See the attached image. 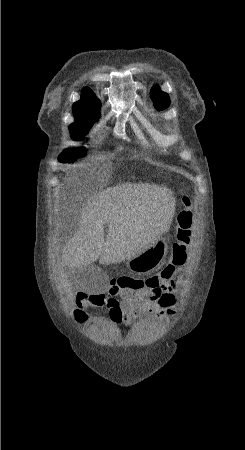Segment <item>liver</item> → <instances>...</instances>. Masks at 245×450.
<instances>
[{
    "instance_id": "1",
    "label": "liver",
    "mask_w": 245,
    "mask_h": 450,
    "mask_svg": "<svg viewBox=\"0 0 245 450\" xmlns=\"http://www.w3.org/2000/svg\"><path fill=\"white\" fill-rule=\"evenodd\" d=\"M174 212L175 198L164 186L128 182L99 191L80 211L78 229L63 249V264L73 271L98 259L103 265L130 259L168 230ZM62 280L71 296L67 276Z\"/></svg>"
}]
</instances>
